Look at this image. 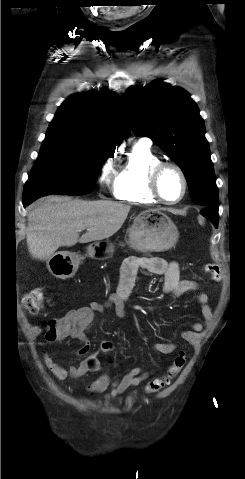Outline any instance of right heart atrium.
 Segmentation results:
<instances>
[{
	"label": "right heart atrium",
	"mask_w": 245,
	"mask_h": 479,
	"mask_svg": "<svg viewBox=\"0 0 245 479\" xmlns=\"http://www.w3.org/2000/svg\"><path fill=\"white\" fill-rule=\"evenodd\" d=\"M113 171V161L111 159L106 160L100 169L99 183L101 187L109 185Z\"/></svg>",
	"instance_id": "1"
}]
</instances>
